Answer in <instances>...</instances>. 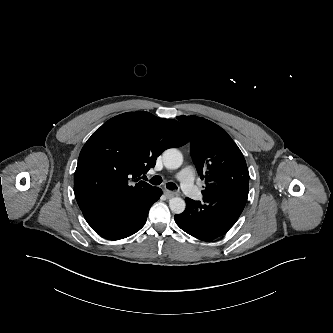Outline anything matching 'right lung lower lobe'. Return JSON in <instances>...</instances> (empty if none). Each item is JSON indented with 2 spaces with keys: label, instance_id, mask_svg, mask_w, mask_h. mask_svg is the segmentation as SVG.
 Wrapping results in <instances>:
<instances>
[{
  "label": "right lung lower lobe",
  "instance_id": "obj_1",
  "mask_svg": "<svg viewBox=\"0 0 333 333\" xmlns=\"http://www.w3.org/2000/svg\"><path fill=\"white\" fill-rule=\"evenodd\" d=\"M161 194L162 190L155 187L139 201L122 205H97L82 212L88 224L100 236L119 240L131 236L144 226L150 207Z\"/></svg>",
  "mask_w": 333,
  "mask_h": 333
}]
</instances>
